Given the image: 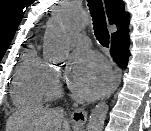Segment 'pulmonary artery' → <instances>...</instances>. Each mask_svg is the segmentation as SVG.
Listing matches in <instances>:
<instances>
[{
	"label": "pulmonary artery",
	"mask_w": 151,
	"mask_h": 131,
	"mask_svg": "<svg viewBox=\"0 0 151 131\" xmlns=\"http://www.w3.org/2000/svg\"><path fill=\"white\" fill-rule=\"evenodd\" d=\"M76 46L78 47H81V48H87L89 47L90 45V41L87 37L85 36H81V37H78L76 40H75V43H74Z\"/></svg>",
	"instance_id": "pulmonary-artery-1"
}]
</instances>
